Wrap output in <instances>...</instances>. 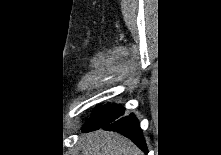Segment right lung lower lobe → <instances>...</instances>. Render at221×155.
I'll list each match as a JSON object with an SVG mask.
<instances>
[{"mask_svg":"<svg viewBox=\"0 0 221 155\" xmlns=\"http://www.w3.org/2000/svg\"><path fill=\"white\" fill-rule=\"evenodd\" d=\"M99 128L121 133L139 146L145 153L148 152L138 120L133 114L124 117L123 110L119 105L104 106L86 121L82 131L88 132Z\"/></svg>","mask_w":221,"mask_h":155,"instance_id":"obj_1","label":"right lung lower lobe"}]
</instances>
